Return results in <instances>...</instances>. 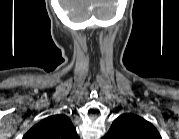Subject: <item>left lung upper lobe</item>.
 <instances>
[{"label":"left lung upper lobe","instance_id":"left-lung-upper-lobe-1","mask_svg":"<svg viewBox=\"0 0 179 139\" xmlns=\"http://www.w3.org/2000/svg\"><path fill=\"white\" fill-rule=\"evenodd\" d=\"M104 139H161L156 128L144 118L127 113L112 123Z\"/></svg>","mask_w":179,"mask_h":139}]
</instances>
